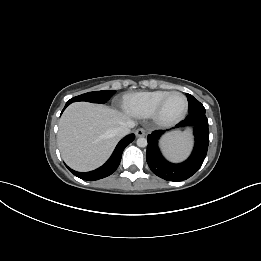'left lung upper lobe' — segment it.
I'll return each instance as SVG.
<instances>
[{
    "label": "left lung upper lobe",
    "instance_id": "5c2ea615",
    "mask_svg": "<svg viewBox=\"0 0 261 261\" xmlns=\"http://www.w3.org/2000/svg\"><path fill=\"white\" fill-rule=\"evenodd\" d=\"M186 96L188 97V103H189L188 112H189V114L190 113H195V112L205 113L204 106L198 100H196L190 94H186Z\"/></svg>",
    "mask_w": 261,
    "mask_h": 261
}]
</instances>
